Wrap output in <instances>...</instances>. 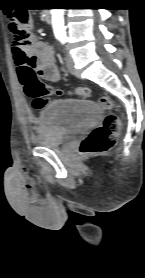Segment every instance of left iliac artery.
Returning <instances> with one entry per match:
<instances>
[{"label":"left iliac artery","instance_id":"left-iliac-artery-1","mask_svg":"<svg viewBox=\"0 0 145 278\" xmlns=\"http://www.w3.org/2000/svg\"><path fill=\"white\" fill-rule=\"evenodd\" d=\"M66 41H67V38H66V37L61 38V42H62V43H65Z\"/></svg>","mask_w":145,"mask_h":278}]
</instances>
